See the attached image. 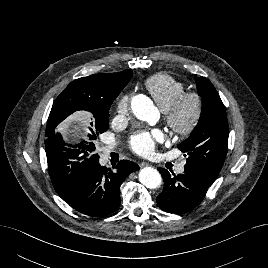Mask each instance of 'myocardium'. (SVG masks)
<instances>
[{
	"mask_svg": "<svg viewBox=\"0 0 268 268\" xmlns=\"http://www.w3.org/2000/svg\"><path fill=\"white\" fill-rule=\"evenodd\" d=\"M192 103L191 112L184 117L183 111L187 103ZM204 103L202 96L195 91L183 92L164 111V118L169 128L177 135L186 137L190 135L203 115Z\"/></svg>",
	"mask_w": 268,
	"mask_h": 268,
	"instance_id": "1",
	"label": "myocardium"
}]
</instances>
